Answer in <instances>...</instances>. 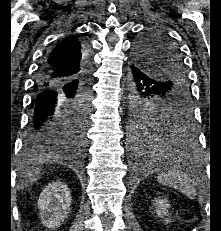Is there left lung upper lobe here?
I'll use <instances>...</instances> for the list:
<instances>
[{"label": "left lung upper lobe", "instance_id": "5c2ea615", "mask_svg": "<svg viewBox=\"0 0 221 231\" xmlns=\"http://www.w3.org/2000/svg\"><path fill=\"white\" fill-rule=\"evenodd\" d=\"M133 57L137 65L148 66L144 69L149 75L165 86L144 98L140 111L131 117L132 131L153 137L166 125L190 117V86L180 50L170 37L161 30L146 31L136 40Z\"/></svg>", "mask_w": 221, "mask_h": 231}]
</instances>
